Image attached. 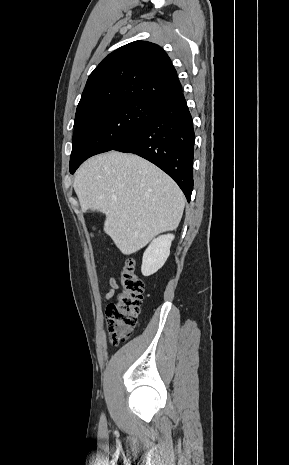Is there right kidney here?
Listing matches in <instances>:
<instances>
[{
  "label": "right kidney",
  "mask_w": 289,
  "mask_h": 465,
  "mask_svg": "<svg viewBox=\"0 0 289 465\" xmlns=\"http://www.w3.org/2000/svg\"><path fill=\"white\" fill-rule=\"evenodd\" d=\"M173 234L159 236L154 239L143 254L141 272L150 276L157 272L166 262L169 254Z\"/></svg>",
  "instance_id": "right-kidney-1"
}]
</instances>
